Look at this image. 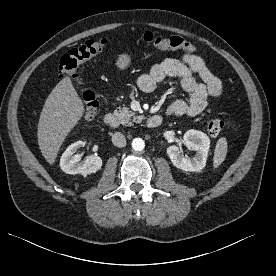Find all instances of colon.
<instances>
[{"instance_id":"1","label":"colon","mask_w":276,"mask_h":276,"mask_svg":"<svg viewBox=\"0 0 276 276\" xmlns=\"http://www.w3.org/2000/svg\"><path fill=\"white\" fill-rule=\"evenodd\" d=\"M133 38L161 51H182L190 54L196 52L194 45L176 35L158 36L151 31H144L134 32ZM107 46L108 41L106 39L89 40L83 45L68 51L59 61V73L62 76L72 77L80 86L79 92L85 117H92L96 113L98 103L94 92L86 88L77 75V68L81 63L103 53ZM203 126L209 135L217 137L233 128L234 124L218 117H212L205 120Z\"/></svg>"}]
</instances>
